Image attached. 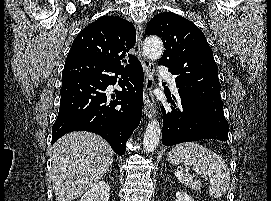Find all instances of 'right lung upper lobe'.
Instances as JSON below:
<instances>
[{"label":"right lung upper lobe","mask_w":271,"mask_h":201,"mask_svg":"<svg viewBox=\"0 0 271 201\" xmlns=\"http://www.w3.org/2000/svg\"><path fill=\"white\" fill-rule=\"evenodd\" d=\"M135 42L136 31L132 23L118 16H103L77 35L67 58L83 56L109 65L133 64L138 61L134 55L128 54V60L123 58Z\"/></svg>","instance_id":"1"}]
</instances>
